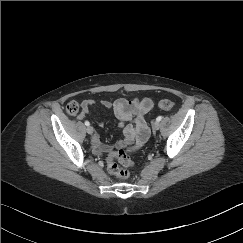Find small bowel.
<instances>
[{
  "label": "small bowel",
  "instance_id": "obj_1",
  "mask_svg": "<svg viewBox=\"0 0 243 243\" xmlns=\"http://www.w3.org/2000/svg\"><path fill=\"white\" fill-rule=\"evenodd\" d=\"M94 102L85 100L82 103V111L78 118L82 119L90 111ZM101 104L112 109L114 115L122 128V138L114 146L104 144L98 136L92 139L93 152L96 155L112 153L114 150H136L146 141L149 132L145 122V115L154 107V102L148 97L118 98L114 101L103 100Z\"/></svg>",
  "mask_w": 243,
  "mask_h": 243
}]
</instances>
